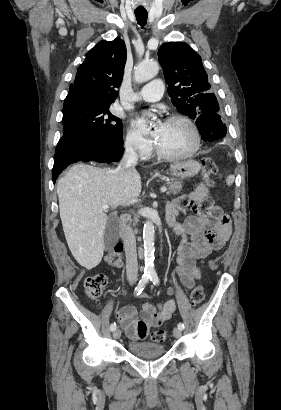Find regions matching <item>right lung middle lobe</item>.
I'll use <instances>...</instances> for the list:
<instances>
[{"label":"right lung middle lobe","mask_w":281,"mask_h":410,"mask_svg":"<svg viewBox=\"0 0 281 410\" xmlns=\"http://www.w3.org/2000/svg\"><path fill=\"white\" fill-rule=\"evenodd\" d=\"M63 136L56 150L73 144L122 139V122L108 105L76 103L63 106Z\"/></svg>","instance_id":"right-lung-middle-lobe-1"}]
</instances>
